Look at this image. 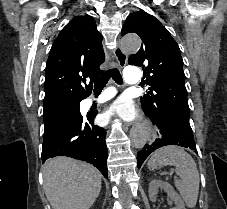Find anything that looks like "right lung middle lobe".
<instances>
[{
    "label": "right lung middle lobe",
    "mask_w": 227,
    "mask_h": 209,
    "mask_svg": "<svg viewBox=\"0 0 227 209\" xmlns=\"http://www.w3.org/2000/svg\"><path fill=\"white\" fill-rule=\"evenodd\" d=\"M78 115H80L79 101L44 106L43 120L45 132L68 119L77 117Z\"/></svg>",
    "instance_id": "1"
}]
</instances>
